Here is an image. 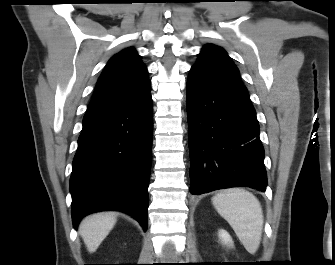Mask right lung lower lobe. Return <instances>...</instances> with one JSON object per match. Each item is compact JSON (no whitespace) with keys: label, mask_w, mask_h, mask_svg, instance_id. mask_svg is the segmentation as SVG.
I'll return each mask as SVG.
<instances>
[{"label":"right lung lower lobe","mask_w":335,"mask_h":265,"mask_svg":"<svg viewBox=\"0 0 335 265\" xmlns=\"http://www.w3.org/2000/svg\"><path fill=\"white\" fill-rule=\"evenodd\" d=\"M72 164L73 226L86 215L125 212L147 230L153 106L145 98L86 112Z\"/></svg>","instance_id":"obj_1"}]
</instances>
